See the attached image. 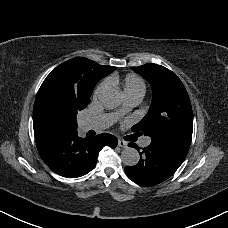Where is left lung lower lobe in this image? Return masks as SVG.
Here are the masks:
<instances>
[{"mask_svg":"<svg viewBox=\"0 0 228 228\" xmlns=\"http://www.w3.org/2000/svg\"><path fill=\"white\" fill-rule=\"evenodd\" d=\"M130 147L140 148L129 143ZM189 146L160 137H151L149 146L142 149L140 161L125 168L126 175L143 186L159 184L172 176L184 161Z\"/></svg>","mask_w":228,"mask_h":228,"instance_id":"obj_1","label":"left lung lower lobe"}]
</instances>
